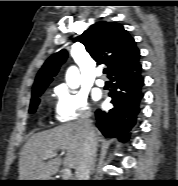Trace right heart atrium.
I'll use <instances>...</instances> for the list:
<instances>
[{
    "mask_svg": "<svg viewBox=\"0 0 178 186\" xmlns=\"http://www.w3.org/2000/svg\"><path fill=\"white\" fill-rule=\"evenodd\" d=\"M55 95L57 97L56 118L60 122L90 117L91 113L86 93L67 87H60L55 89Z\"/></svg>",
    "mask_w": 178,
    "mask_h": 186,
    "instance_id": "d8ad5b80",
    "label": "right heart atrium"
}]
</instances>
